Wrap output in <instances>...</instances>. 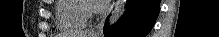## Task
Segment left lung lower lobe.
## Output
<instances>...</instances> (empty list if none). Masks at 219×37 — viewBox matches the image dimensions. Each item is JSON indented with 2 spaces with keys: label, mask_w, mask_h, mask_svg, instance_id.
I'll list each match as a JSON object with an SVG mask.
<instances>
[{
  "label": "left lung lower lobe",
  "mask_w": 219,
  "mask_h": 37,
  "mask_svg": "<svg viewBox=\"0 0 219 37\" xmlns=\"http://www.w3.org/2000/svg\"><path fill=\"white\" fill-rule=\"evenodd\" d=\"M160 11L159 0H129L128 8L113 26L106 21L107 37H145L152 29Z\"/></svg>",
  "instance_id": "0a47b994"
}]
</instances>
